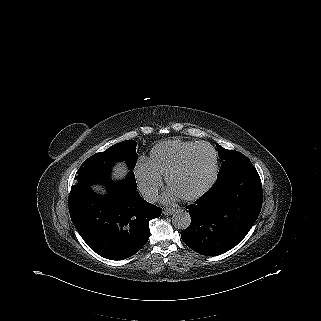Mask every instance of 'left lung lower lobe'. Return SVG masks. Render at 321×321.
<instances>
[{
	"mask_svg": "<svg viewBox=\"0 0 321 321\" xmlns=\"http://www.w3.org/2000/svg\"><path fill=\"white\" fill-rule=\"evenodd\" d=\"M259 174L251 163L232 167L196 204L189 205L190 226L181 234L185 244L206 256L223 254L247 235L262 206Z\"/></svg>",
	"mask_w": 321,
	"mask_h": 321,
	"instance_id": "left-lung-lower-lobe-1",
	"label": "left lung lower lobe"
}]
</instances>
